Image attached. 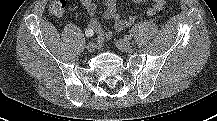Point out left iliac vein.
<instances>
[{"label": "left iliac vein", "mask_w": 217, "mask_h": 121, "mask_svg": "<svg viewBox=\"0 0 217 121\" xmlns=\"http://www.w3.org/2000/svg\"><path fill=\"white\" fill-rule=\"evenodd\" d=\"M116 46L119 50L129 52L132 50V43L127 39H119L116 41Z\"/></svg>", "instance_id": "1"}]
</instances>
